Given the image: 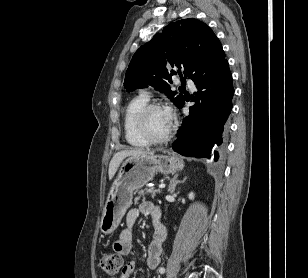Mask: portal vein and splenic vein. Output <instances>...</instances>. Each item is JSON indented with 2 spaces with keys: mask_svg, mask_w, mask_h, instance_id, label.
<instances>
[{
  "mask_svg": "<svg viewBox=\"0 0 308 278\" xmlns=\"http://www.w3.org/2000/svg\"><path fill=\"white\" fill-rule=\"evenodd\" d=\"M163 188H165V184H160L159 187H158L159 190L163 189Z\"/></svg>",
  "mask_w": 308,
  "mask_h": 278,
  "instance_id": "portal-vein-and-splenic-vein-1",
  "label": "portal vein and splenic vein"
}]
</instances>
